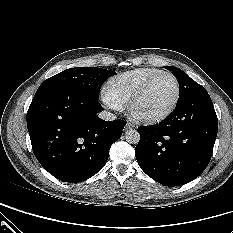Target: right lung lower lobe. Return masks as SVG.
Returning a JSON list of instances; mask_svg holds the SVG:
<instances>
[{
  "mask_svg": "<svg viewBox=\"0 0 233 233\" xmlns=\"http://www.w3.org/2000/svg\"><path fill=\"white\" fill-rule=\"evenodd\" d=\"M98 99L72 88L50 90L33 99L27 112L32 149L42 167L57 179L78 183L106 164L124 120L104 121Z\"/></svg>",
  "mask_w": 233,
  "mask_h": 233,
  "instance_id": "98d812e1",
  "label": "right lung lower lobe"
}]
</instances>
